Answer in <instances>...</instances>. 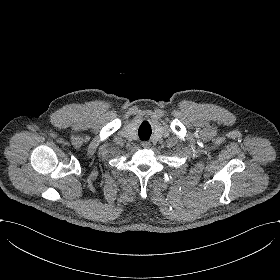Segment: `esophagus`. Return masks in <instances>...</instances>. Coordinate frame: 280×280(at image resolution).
Returning <instances> with one entry per match:
<instances>
[{"instance_id":"obj_1","label":"esophagus","mask_w":280,"mask_h":280,"mask_svg":"<svg viewBox=\"0 0 280 280\" xmlns=\"http://www.w3.org/2000/svg\"><path fill=\"white\" fill-rule=\"evenodd\" d=\"M141 145H142V147L145 148V149H149V148L151 147L150 141H142V142H141Z\"/></svg>"}]
</instances>
